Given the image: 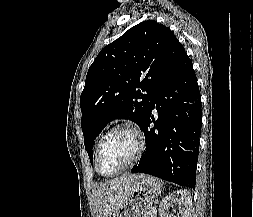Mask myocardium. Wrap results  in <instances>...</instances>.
<instances>
[{
    "label": "myocardium",
    "instance_id": "1",
    "mask_svg": "<svg viewBox=\"0 0 253 217\" xmlns=\"http://www.w3.org/2000/svg\"><path fill=\"white\" fill-rule=\"evenodd\" d=\"M116 131H126V132L130 133L133 136V138L135 140V151H134V154L132 155V157L123 166H121L119 169H117L116 171H114L110 174H105V173L101 172V170L99 169L100 149H101L102 144L104 143V141L111 134H113ZM144 149H145V140H144L143 133L141 132V130L139 128H137L134 125L127 124V123L117 124V125L113 126L112 128H110L100 138V140L97 143V146H96V149H95V155H94L95 169H96L97 173L100 174L103 177L115 176V175L121 173L122 171L126 170L127 168H129L135 162H137L139 160V158L142 156V154L144 152Z\"/></svg>",
    "mask_w": 253,
    "mask_h": 217
}]
</instances>
